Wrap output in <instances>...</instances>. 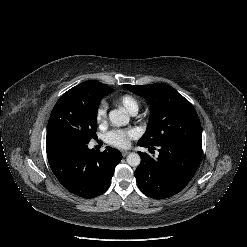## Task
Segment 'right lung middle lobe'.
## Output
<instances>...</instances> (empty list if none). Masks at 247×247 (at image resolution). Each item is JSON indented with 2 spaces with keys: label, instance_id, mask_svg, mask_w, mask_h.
Masks as SVG:
<instances>
[{
  "label": "right lung middle lobe",
  "instance_id": "dd1d6c3e",
  "mask_svg": "<svg viewBox=\"0 0 247 247\" xmlns=\"http://www.w3.org/2000/svg\"><path fill=\"white\" fill-rule=\"evenodd\" d=\"M108 87L103 93H79L68 90L54 106L48 126L46 145L59 141L89 143L96 137L97 109Z\"/></svg>",
  "mask_w": 247,
  "mask_h": 247
}]
</instances>
